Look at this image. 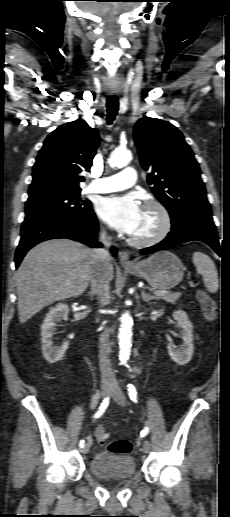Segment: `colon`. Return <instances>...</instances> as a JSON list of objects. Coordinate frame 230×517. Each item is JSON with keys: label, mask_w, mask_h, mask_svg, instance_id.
<instances>
[{"label": "colon", "mask_w": 230, "mask_h": 517, "mask_svg": "<svg viewBox=\"0 0 230 517\" xmlns=\"http://www.w3.org/2000/svg\"><path fill=\"white\" fill-rule=\"evenodd\" d=\"M196 299L201 307L203 315L208 322H214L218 316V309L215 301L202 289L196 291ZM97 440L104 443L107 436L103 429L97 433ZM108 450L114 454H128L132 449L131 442L128 439H119L108 443Z\"/></svg>", "instance_id": "obj_1"}]
</instances>
